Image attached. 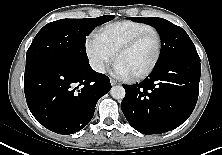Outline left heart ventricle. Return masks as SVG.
<instances>
[{
    "label": "left heart ventricle",
    "mask_w": 222,
    "mask_h": 155,
    "mask_svg": "<svg viewBox=\"0 0 222 155\" xmlns=\"http://www.w3.org/2000/svg\"><path fill=\"white\" fill-rule=\"evenodd\" d=\"M157 38L151 34L138 43L133 49L121 54L117 59L130 75H136L146 70L154 61L157 53Z\"/></svg>",
    "instance_id": "obj_1"
}]
</instances>
